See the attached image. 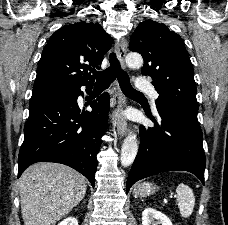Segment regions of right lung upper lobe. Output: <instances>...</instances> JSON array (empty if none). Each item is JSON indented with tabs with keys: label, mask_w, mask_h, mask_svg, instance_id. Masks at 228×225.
Returning a JSON list of instances; mask_svg holds the SVG:
<instances>
[{
	"label": "right lung upper lobe",
	"mask_w": 228,
	"mask_h": 225,
	"mask_svg": "<svg viewBox=\"0 0 228 225\" xmlns=\"http://www.w3.org/2000/svg\"><path fill=\"white\" fill-rule=\"evenodd\" d=\"M112 43L99 23L80 21L63 26L43 49L33 88L92 85L94 79L88 70L98 68Z\"/></svg>",
	"instance_id": "1"
}]
</instances>
